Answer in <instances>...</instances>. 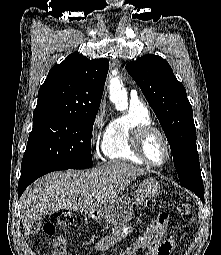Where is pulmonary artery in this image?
Here are the masks:
<instances>
[{
	"label": "pulmonary artery",
	"mask_w": 221,
	"mask_h": 255,
	"mask_svg": "<svg viewBox=\"0 0 221 255\" xmlns=\"http://www.w3.org/2000/svg\"><path fill=\"white\" fill-rule=\"evenodd\" d=\"M131 100L135 102H141L140 97L136 91L131 92Z\"/></svg>",
	"instance_id": "obj_1"
}]
</instances>
